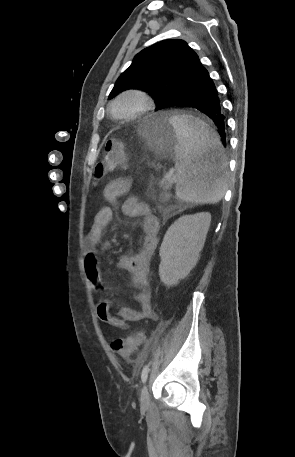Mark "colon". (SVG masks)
<instances>
[{
	"label": "colon",
	"instance_id": "colon-1",
	"mask_svg": "<svg viewBox=\"0 0 295 457\" xmlns=\"http://www.w3.org/2000/svg\"><path fill=\"white\" fill-rule=\"evenodd\" d=\"M127 161L128 157L122 142L118 139H110L104 146L103 156L96 165L95 174L97 178H101L108 172L124 167ZM143 341L144 335L141 332H137L110 342L109 347L122 357L131 358Z\"/></svg>",
	"mask_w": 295,
	"mask_h": 457
}]
</instances>
